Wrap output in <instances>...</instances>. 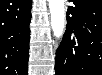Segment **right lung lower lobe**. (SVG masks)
<instances>
[{"instance_id":"obj_1","label":"right lung lower lobe","mask_w":102,"mask_h":75,"mask_svg":"<svg viewBox=\"0 0 102 75\" xmlns=\"http://www.w3.org/2000/svg\"><path fill=\"white\" fill-rule=\"evenodd\" d=\"M32 0L0 1V75H27Z\"/></svg>"}]
</instances>
